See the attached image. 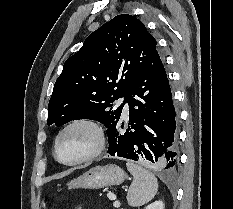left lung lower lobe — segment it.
Here are the masks:
<instances>
[{"instance_id": "obj_1", "label": "left lung lower lobe", "mask_w": 233, "mask_h": 209, "mask_svg": "<svg viewBox=\"0 0 233 209\" xmlns=\"http://www.w3.org/2000/svg\"><path fill=\"white\" fill-rule=\"evenodd\" d=\"M129 126L121 119L107 129L108 153L172 170L177 164V115L164 65L156 51L125 96ZM125 103V102H124Z\"/></svg>"}]
</instances>
